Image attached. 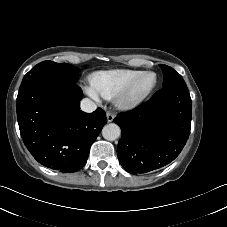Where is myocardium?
<instances>
[{"label": "myocardium", "instance_id": "myocardium-1", "mask_svg": "<svg viewBox=\"0 0 227 227\" xmlns=\"http://www.w3.org/2000/svg\"><path fill=\"white\" fill-rule=\"evenodd\" d=\"M153 76L152 84L142 93L135 94V88L139 81L147 76ZM157 85V74L153 71H144L136 76L123 90L116 95V103L123 109H132L140 105L154 90Z\"/></svg>", "mask_w": 227, "mask_h": 227}]
</instances>
